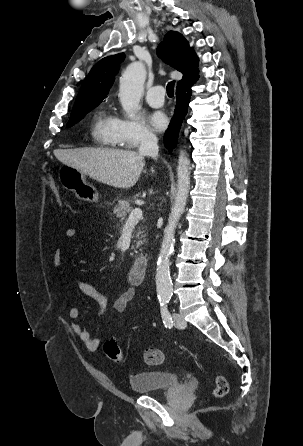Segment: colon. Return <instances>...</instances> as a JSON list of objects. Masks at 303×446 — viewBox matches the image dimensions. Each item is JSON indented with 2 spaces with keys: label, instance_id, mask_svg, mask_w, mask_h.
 I'll return each instance as SVG.
<instances>
[{
  "label": "colon",
  "instance_id": "colon-1",
  "mask_svg": "<svg viewBox=\"0 0 303 446\" xmlns=\"http://www.w3.org/2000/svg\"><path fill=\"white\" fill-rule=\"evenodd\" d=\"M48 186L58 201L62 202L63 194L52 178L48 179ZM104 352L114 363L121 364L124 361V354L115 340H108L104 344ZM166 359L163 351L158 348H147L144 351V361L147 365H161ZM228 392V383L224 376L218 375L215 378L213 396L216 398L224 397Z\"/></svg>",
  "mask_w": 303,
  "mask_h": 446
}]
</instances>
